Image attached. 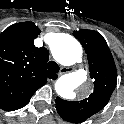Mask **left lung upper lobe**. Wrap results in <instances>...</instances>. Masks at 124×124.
<instances>
[{
	"label": "left lung upper lobe",
	"instance_id": "obj_1",
	"mask_svg": "<svg viewBox=\"0 0 124 124\" xmlns=\"http://www.w3.org/2000/svg\"><path fill=\"white\" fill-rule=\"evenodd\" d=\"M73 35L87 54L94 90L80 101H65L57 97L56 109L65 121L81 123L106 106L117 84V71L109 47L100 33L82 29L74 31Z\"/></svg>",
	"mask_w": 124,
	"mask_h": 124
}]
</instances>
